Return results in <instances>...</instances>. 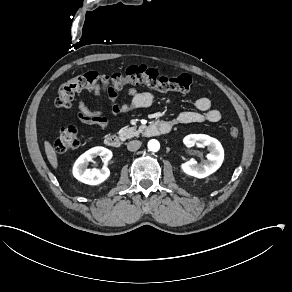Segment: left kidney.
<instances>
[{
  "label": "left kidney",
  "instance_id": "left-kidney-1",
  "mask_svg": "<svg viewBox=\"0 0 292 292\" xmlns=\"http://www.w3.org/2000/svg\"><path fill=\"white\" fill-rule=\"evenodd\" d=\"M183 143L187 147H193L195 144L206 146L210 153L207 154V160L203 164L195 160H189L182 164V170L191 176L204 178L214 173L223 163L224 149L221 143L205 134H190L184 137Z\"/></svg>",
  "mask_w": 292,
  "mask_h": 292
}]
</instances>
